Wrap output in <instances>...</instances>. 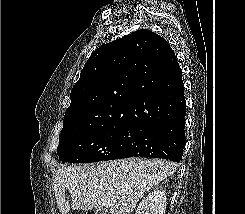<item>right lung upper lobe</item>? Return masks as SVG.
Masks as SVG:
<instances>
[{"label":"right lung upper lobe","mask_w":245,"mask_h":214,"mask_svg":"<svg viewBox=\"0 0 245 214\" xmlns=\"http://www.w3.org/2000/svg\"><path fill=\"white\" fill-rule=\"evenodd\" d=\"M174 56L164 38L146 29L97 48L72 88L64 119L80 127L132 120L147 97L166 87Z\"/></svg>","instance_id":"cb5924a9"}]
</instances>
